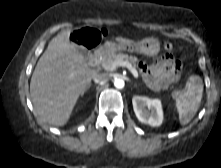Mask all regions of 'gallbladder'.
I'll use <instances>...</instances> for the list:
<instances>
[{
  "instance_id": "bac80fb5",
  "label": "gallbladder",
  "mask_w": 221,
  "mask_h": 168,
  "mask_svg": "<svg viewBox=\"0 0 221 168\" xmlns=\"http://www.w3.org/2000/svg\"><path fill=\"white\" fill-rule=\"evenodd\" d=\"M75 48H76L77 51H78L80 54H82V55H84L85 52H86V49H85L84 47H81V46L76 45Z\"/></svg>"
}]
</instances>
